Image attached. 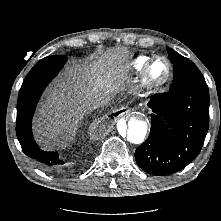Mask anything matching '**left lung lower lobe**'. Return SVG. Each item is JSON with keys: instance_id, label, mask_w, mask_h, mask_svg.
<instances>
[{"instance_id": "left-lung-lower-lobe-1", "label": "left lung lower lobe", "mask_w": 221, "mask_h": 221, "mask_svg": "<svg viewBox=\"0 0 221 221\" xmlns=\"http://www.w3.org/2000/svg\"><path fill=\"white\" fill-rule=\"evenodd\" d=\"M147 140L135 151L138 166L153 175L175 173L199 154L209 127V90L206 83L154 95Z\"/></svg>"}]
</instances>
